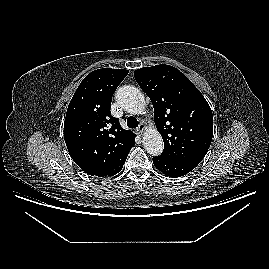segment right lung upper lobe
I'll use <instances>...</instances> for the list:
<instances>
[{
    "label": "right lung upper lobe",
    "instance_id": "obj_1",
    "mask_svg": "<svg viewBox=\"0 0 269 269\" xmlns=\"http://www.w3.org/2000/svg\"><path fill=\"white\" fill-rule=\"evenodd\" d=\"M128 72L111 68L91 72L69 103L65 143L74 162L89 175L117 174L135 145L133 132L123 129L110 112L112 96Z\"/></svg>",
    "mask_w": 269,
    "mask_h": 269
}]
</instances>
